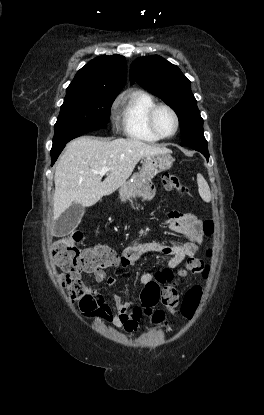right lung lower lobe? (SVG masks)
<instances>
[{
    "instance_id": "obj_1",
    "label": "right lung lower lobe",
    "mask_w": 264,
    "mask_h": 415,
    "mask_svg": "<svg viewBox=\"0 0 264 415\" xmlns=\"http://www.w3.org/2000/svg\"><path fill=\"white\" fill-rule=\"evenodd\" d=\"M65 145H63V146H61V147H59V148H57L55 150H51V165H53L55 163V161L57 160L58 156L60 155V153L64 149Z\"/></svg>"
}]
</instances>
